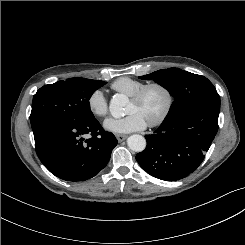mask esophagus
<instances>
[{
  "instance_id": "1",
  "label": "esophagus",
  "mask_w": 245,
  "mask_h": 245,
  "mask_svg": "<svg viewBox=\"0 0 245 245\" xmlns=\"http://www.w3.org/2000/svg\"><path fill=\"white\" fill-rule=\"evenodd\" d=\"M126 138H127V136H126V135H123V134H117V135H116V139H117L119 142L124 141Z\"/></svg>"
}]
</instances>
